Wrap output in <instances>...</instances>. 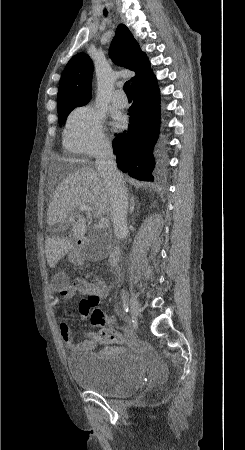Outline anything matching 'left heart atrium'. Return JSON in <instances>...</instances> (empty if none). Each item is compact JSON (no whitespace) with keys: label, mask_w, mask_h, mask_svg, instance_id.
<instances>
[{"label":"left heart atrium","mask_w":245,"mask_h":450,"mask_svg":"<svg viewBox=\"0 0 245 450\" xmlns=\"http://www.w3.org/2000/svg\"><path fill=\"white\" fill-rule=\"evenodd\" d=\"M124 123V118H119L118 119V124L117 125H121V124H123Z\"/></svg>","instance_id":"39dd6f15"}]
</instances>
